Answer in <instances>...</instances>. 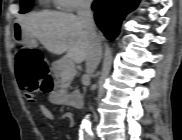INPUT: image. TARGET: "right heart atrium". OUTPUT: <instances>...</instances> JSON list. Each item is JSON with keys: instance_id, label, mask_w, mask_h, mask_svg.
Segmentation results:
<instances>
[{"instance_id": "1", "label": "right heart atrium", "mask_w": 182, "mask_h": 140, "mask_svg": "<svg viewBox=\"0 0 182 140\" xmlns=\"http://www.w3.org/2000/svg\"><path fill=\"white\" fill-rule=\"evenodd\" d=\"M90 6L89 0H60L59 7L68 12H80Z\"/></svg>"}]
</instances>
